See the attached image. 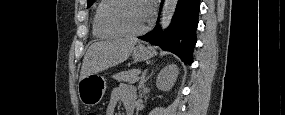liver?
<instances>
[{"mask_svg":"<svg viewBox=\"0 0 285 115\" xmlns=\"http://www.w3.org/2000/svg\"><path fill=\"white\" fill-rule=\"evenodd\" d=\"M137 41L136 38H121L91 44L83 59L80 79L126 61Z\"/></svg>","mask_w":285,"mask_h":115,"instance_id":"obj_1","label":"liver"}]
</instances>
